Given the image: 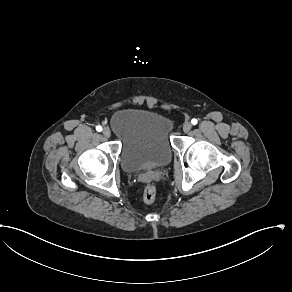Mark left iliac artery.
Returning a JSON list of instances; mask_svg holds the SVG:
<instances>
[{"instance_id": "1", "label": "left iliac artery", "mask_w": 292, "mask_h": 292, "mask_svg": "<svg viewBox=\"0 0 292 292\" xmlns=\"http://www.w3.org/2000/svg\"><path fill=\"white\" fill-rule=\"evenodd\" d=\"M191 123H192L193 125H196V124L198 123V121H197V119L194 118V119L191 120Z\"/></svg>"}]
</instances>
